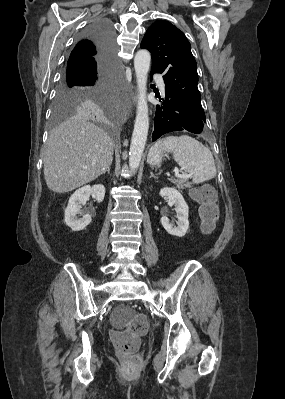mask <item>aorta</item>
Returning a JSON list of instances; mask_svg holds the SVG:
<instances>
[{"label":"aorta","mask_w":285,"mask_h":399,"mask_svg":"<svg viewBox=\"0 0 285 399\" xmlns=\"http://www.w3.org/2000/svg\"><path fill=\"white\" fill-rule=\"evenodd\" d=\"M151 55L148 50H139L134 58V68L138 84V104L134 130L129 152V167L131 171L139 168L149 129V114L146 100L147 76L150 68Z\"/></svg>","instance_id":"1"}]
</instances>
